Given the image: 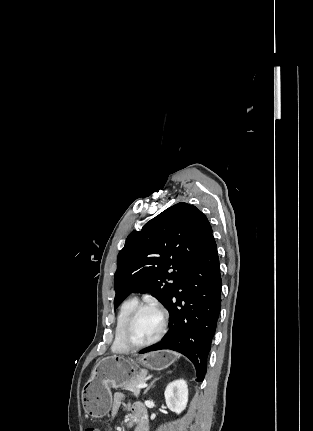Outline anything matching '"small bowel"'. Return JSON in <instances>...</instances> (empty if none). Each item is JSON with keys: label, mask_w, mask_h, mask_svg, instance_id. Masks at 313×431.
I'll return each mask as SVG.
<instances>
[{"label": "small bowel", "mask_w": 313, "mask_h": 431, "mask_svg": "<svg viewBox=\"0 0 313 431\" xmlns=\"http://www.w3.org/2000/svg\"><path fill=\"white\" fill-rule=\"evenodd\" d=\"M123 396L121 394L115 395V405L114 408L117 410L119 407ZM138 416L139 417V423L136 431H147V420L145 416L144 409L141 405H134L131 409V416Z\"/></svg>", "instance_id": "obj_1"}]
</instances>
